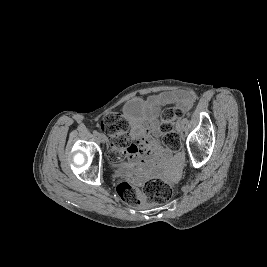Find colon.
<instances>
[{
	"label": "colon",
	"mask_w": 267,
	"mask_h": 267,
	"mask_svg": "<svg viewBox=\"0 0 267 267\" xmlns=\"http://www.w3.org/2000/svg\"><path fill=\"white\" fill-rule=\"evenodd\" d=\"M181 116L182 112L178 107L166 108L162 111L156 125L157 133L170 151L175 152L181 149V140L175 129L176 121ZM99 126L108 135V160L113 164L123 162L132 151L128 122L118 113H108L103 116ZM117 193L129 205L139 203L140 192L128 181H122L117 185ZM145 196L151 202L165 203L172 196V188L161 180L152 179L145 185Z\"/></svg>",
	"instance_id": "obj_1"
}]
</instances>
